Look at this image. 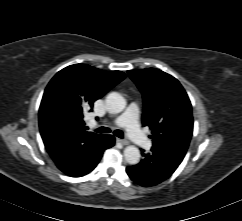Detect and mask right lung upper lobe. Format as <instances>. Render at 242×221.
<instances>
[{
  "mask_svg": "<svg viewBox=\"0 0 242 221\" xmlns=\"http://www.w3.org/2000/svg\"><path fill=\"white\" fill-rule=\"evenodd\" d=\"M125 77L121 71L75 64L52 78L39 108V127L56 165H73L86 145L102 136L86 131L84 113Z\"/></svg>",
  "mask_w": 242,
  "mask_h": 221,
  "instance_id": "cb5924a9",
  "label": "right lung upper lobe"
}]
</instances>
